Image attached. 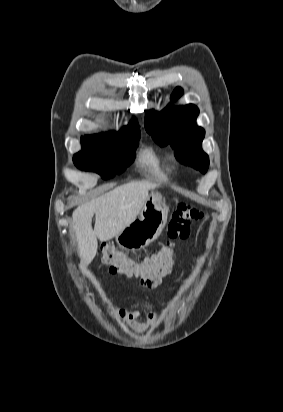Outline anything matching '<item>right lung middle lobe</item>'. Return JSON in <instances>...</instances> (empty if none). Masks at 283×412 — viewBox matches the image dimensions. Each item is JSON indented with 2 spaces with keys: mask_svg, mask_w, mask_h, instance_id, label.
Instances as JSON below:
<instances>
[{
  "mask_svg": "<svg viewBox=\"0 0 283 412\" xmlns=\"http://www.w3.org/2000/svg\"><path fill=\"white\" fill-rule=\"evenodd\" d=\"M140 134L117 139L83 137L82 151L74 155L81 170L96 171L103 178L119 174L133 161Z\"/></svg>",
  "mask_w": 283,
  "mask_h": 412,
  "instance_id": "1",
  "label": "right lung middle lobe"
}]
</instances>
